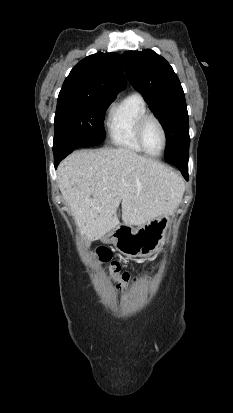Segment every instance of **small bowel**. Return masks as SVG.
Returning <instances> with one entry per match:
<instances>
[{
  "label": "small bowel",
  "instance_id": "1",
  "mask_svg": "<svg viewBox=\"0 0 233 413\" xmlns=\"http://www.w3.org/2000/svg\"><path fill=\"white\" fill-rule=\"evenodd\" d=\"M122 261H123V262H126V261H127V258H126V257H123V258H122Z\"/></svg>",
  "mask_w": 233,
  "mask_h": 413
}]
</instances>
